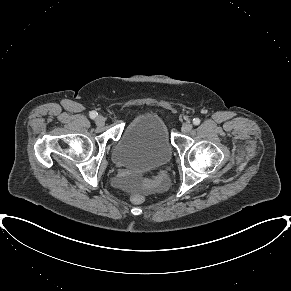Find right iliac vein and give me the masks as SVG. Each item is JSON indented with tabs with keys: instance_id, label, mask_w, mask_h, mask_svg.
<instances>
[{
	"instance_id": "1",
	"label": "right iliac vein",
	"mask_w": 291,
	"mask_h": 291,
	"mask_svg": "<svg viewBox=\"0 0 291 291\" xmlns=\"http://www.w3.org/2000/svg\"><path fill=\"white\" fill-rule=\"evenodd\" d=\"M95 122L98 126H103L105 123V118L102 115L96 117Z\"/></svg>"
}]
</instances>
